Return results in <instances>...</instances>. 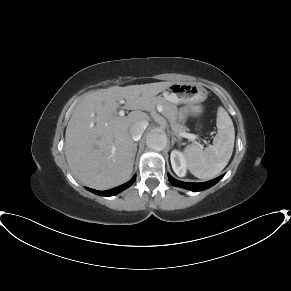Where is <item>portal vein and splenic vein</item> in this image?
<instances>
[{
	"label": "portal vein and splenic vein",
	"mask_w": 291,
	"mask_h": 291,
	"mask_svg": "<svg viewBox=\"0 0 291 291\" xmlns=\"http://www.w3.org/2000/svg\"><path fill=\"white\" fill-rule=\"evenodd\" d=\"M122 103H123V101H122ZM157 110H158V112H162L163 108L161 106H158ZM124 114H125V112L123 110L119 111V116L122 117V116H124ZM177 135L180 137H183V138H187L191 141H195V139H196V136L194 134H190V133H186V132H179V133H177ZM200 147L203 148L202 145H200Z\"/></svg>",
	"instance_id": "portal-vein-and-splenic-vein-1"
}]
</instances>
